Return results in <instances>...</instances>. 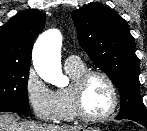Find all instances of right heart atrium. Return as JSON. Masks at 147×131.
<instances>
[{"label": "right heart atrium", "mask_w": 147, "mask_h": 131, "mask_svg": "<svg viewBox=\"0 0 147 131\" xmlns=\"http://www.w3.org/2000/svg\"><path fill=\"white\" fill-rule=\"evenodd\" d=\"M25 94L37 119L45 122L58 120L60 106L57 95L34 69H30L25 78Z\"/></svg>", "instance_id": "right-heart-atrium-1"}]
</instances>
